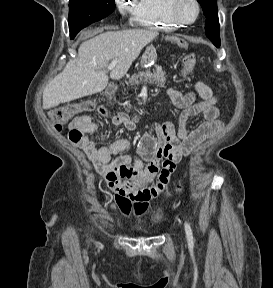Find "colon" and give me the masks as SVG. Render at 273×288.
<instances>
[{"mask_svg":"<svg viewBox=\"0 0 273 288\" xmlns=\"http://www.w3.org/2000/svg\"><path fill=\"white\" fill-rule=\"evenodd\" d=\"M180 47L185 48L186 45L183 42H179ZM195 64V57L193 54H187L183 59V71L184 73H188L192 70ZM93 103L91 102H82L73 105H67L63 107H58L53 109L49 113V118L51 122L54 124L57 130H60L61 127L68 123L75 115L89 111L93 108ZM72 135L74 138H80L82 136L79 130H73ZM178 192H182V189H179Z\"/></svg>","mask_w":273,"mask_h":288,"instance_id":"obj_1","label":"colon"}]
</instances>
